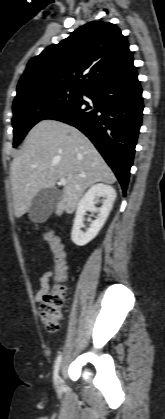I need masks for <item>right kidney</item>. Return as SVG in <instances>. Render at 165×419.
I'll list each match as a JSON object with an SVG mask.
<instances>
[{
    "instance_id": "1",
    "label": "right kidney",
    "mask_w": 165,
    "mask_h": 419,
    "mask_svg": "<svg viewBox=\"0 0 165 419\" xmlns=\"http://www.w3.org/2000/svg\"><path fill=\"white\" fill-rule=\"evenodd\" d=\"M100 196L104 197V200L102 201V206L100 208H96L94 200ZM115 198L116 191L110 185L98 183L89 188L78 203L76 210V216L71 232V239L76 245L84 246L97 236L105 224L110 211L112 210ZM87 211H97L98 215L96 220L91 221L90 227L87 231L82 232L81 228L83 227L84 215Z\"/></svg>"
}]
</instances>
